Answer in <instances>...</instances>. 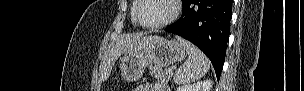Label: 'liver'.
I'll use <instances>...</instances> for the list:
<instances>
[{"instance_id":"6515ba94","label":"liver","mask_w":304,"mask_h":91,"mask_svg":"<svg viewBox=\"0 0 304 91\" xmlns=\"http://www.w3.org/2000/svg\"><path fill=\"white\" fill-rule=\"evenodd\" d=\"M150 38L152 36H144L142 34L122 36L105 54L100 65V80L104 82L109 78L112 67L121 54L144 48Z\"/></svg>"}]
</instances>
